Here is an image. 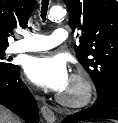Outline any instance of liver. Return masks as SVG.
Returning a JSON list of instances; mask_svg holds the SVG:
<instances>
[{
    "label": "liver",
    "mask_w": 118,
    "mask_h": 123,
    "mask_svg": "<svg viewBox=\"0 0 118 123\" xmlns=\"http://www.w3.org/2000/svg\"><path fill=\"white\" fill-rule=\"evenodd\" d=\"M0 123H20L8 109L0 105Z\"/></svg>",
    "instance_id": "obj_1"
}]
</instances>
